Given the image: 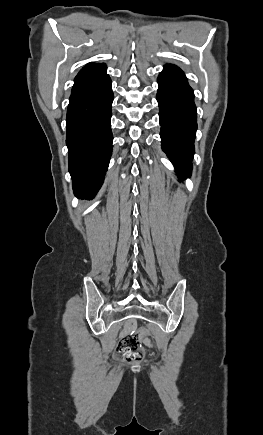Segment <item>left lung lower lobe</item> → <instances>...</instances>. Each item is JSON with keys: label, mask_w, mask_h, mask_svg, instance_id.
Here are the masks:
<instances>
[{"label": "left lung lower lobe", "mask_w": 263, "mask_h": 435, "mask_svg": "<svg viewBox=\"0 0 263 435\" xmlns=\"http://www.w3.org/2000/svg\"><path fill=\"white\" fill-rule=\"evenodd\" d=\"M158 84L162 149L177 173L190 177L197 129L193 90L183 71L172 64L164 66Z\"/></svg>", "instance_id": "left-lung-lower-lobe-1"}]
</instances>
